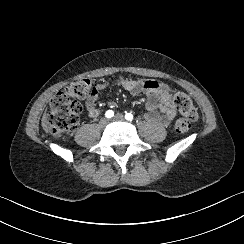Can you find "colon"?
I'll return each mask as SVG.
<instances>
[{"mask_svg":"<svg viewBox=\"0 0 244 244\" xmlns=\"http://www.w3.org/2000/svg\"><path fill=\"white\" fill-rule=\"evenodd\" d=\"M90 90L91 81L80 78L55 95L45 120L56 138L66 137L77 128L82 112L79 100L88 95ZM173 103L181 112L175 123V131L183 134L197 120L198 112L191 98L182 92L174 93Z\"/></svg>","mask_w":244,"mask_h":244,"instance_id":"5ec220e1","label":"colon"}]
</instances>
